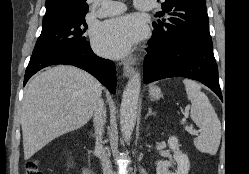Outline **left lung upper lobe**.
<instances>
[{
  "label": "left lung upper lobe",
  "mask_w": 249,
  "mask_h": 174,
  "mask_svg": "<svg viewBox=\"0 0 249 174\" xmlns=\"http://www.w3.org/2000/svg\"><path fill=\"white\" fill-rule=\"evenodd\" d=\"M168 15L165 23H153V37L167 45L211 40L205 0H165L158 16Z\"/></svg>",
  "instance_id": "obj_1"
}]
</instances>
